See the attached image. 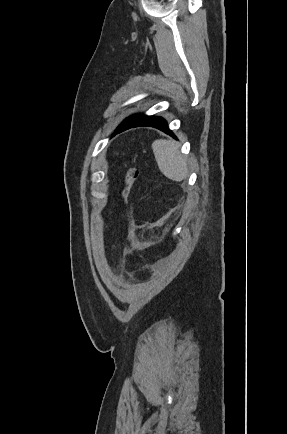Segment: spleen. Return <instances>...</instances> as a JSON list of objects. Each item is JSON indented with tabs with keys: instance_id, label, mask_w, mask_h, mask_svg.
Returning <instances> with one entry per match:
<instances>
[{
	"instance_id": "1",
	"label": "spleen",
	"mask_w": 287,
	"mask_h": 434,
	"mask_svg": "<svg viewBox=\"0 0 287 434\" xmlns=\"http://www.w3.org/2000/svg\"><path fill=\"white\" fill-rule=\"evenodd\" d=\"M153 153L163 175L173 181H183L188 174L186 159L173 140L158 139L152 143Z\"/></svg>"
}]
</instances>
